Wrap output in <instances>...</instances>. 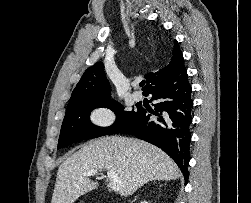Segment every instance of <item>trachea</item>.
<instances>
[{"label": "trachea", "instance_id": "3493384b", "mask_svg": "<svg viewBox=\"0 0 251 203\" xmlns=\"http://www.w3.org/2000/svg\"><path fill=\"white\" fill-rule=\"evenodd\" d=\"M139 85L140 87H143L145 85V81H142Z\"/></svg>", "mask_w": 251, "mask_h": 203}]
</instances>
